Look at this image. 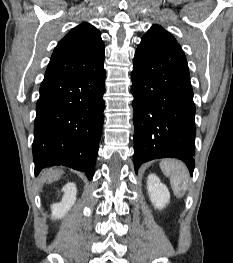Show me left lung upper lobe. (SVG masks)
Wrapping results in <instances>:
<instances>
[{
  "instance_id": "left-lung-upper-lobe-1",
  "label": "left lung upper lobe",
  "mask_w": 233,
  "mask_h": 263,
  "mask_svg": "<svg viewBox=\"0 0 233 263\" xmlns=\"http://www.w3.org/2000/svg\"><path fill=\"white\" fill-rule=\"evenodd\" d=\"M142 40L179 45L170 33L165 31L161 26L158 25H153L142 37Z\"/></svg>"
}]
</instances>
